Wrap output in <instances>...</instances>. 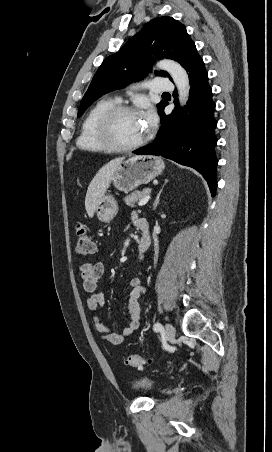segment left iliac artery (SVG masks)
<instances>
[{
  "label": "left iliac artery",
  "instance_id": "obj_1",
  "mask_svg": "<svg viewBox=\"0 0 272 452\" xmlns=\"http://www.w3.org/2000/svg\"><path fill=\"white\" fill-rule=\"evenodd\" d=\"M162 328H163V327H162V325H161L159 322H157V323L154 324V331H155V332L161 331Z\"/></svg>",
  "mask_w": 272,
  "mask_h": 452
}]
</instances>
